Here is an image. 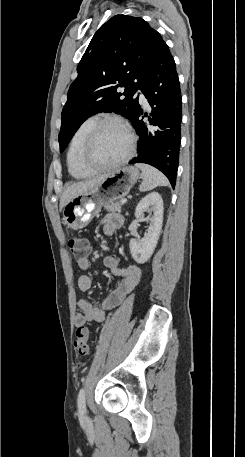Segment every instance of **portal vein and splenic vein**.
Segmentation results:
<instances>
[{
	"label": "portal vein and splenic vein",
	"instance_id": "obj_1",
	"mask_svg": "<svg viewBox=\"0 0 245 457\" xmlns=\"http://www.w3.org/2000/svg\"><path fill=\"white\" fill-rule=\"evenodd\" d=\"M127 198H121L120 202H126Z\"/></svg>",
	"mask_w": 245,
	"mask_h": 457
}]
</instances>
